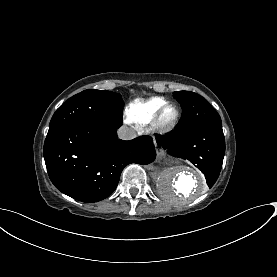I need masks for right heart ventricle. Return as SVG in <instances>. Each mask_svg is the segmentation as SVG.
Returning <instances> with one entry per match:
<instances>
[{"label": "right heart ventricle", "mask_w": 277, "mask_h": 277, "mask_svg": "<svg viewBox=\"0 0 277 277\" xmlns=\"http://www.w3.org/2000/svg\"><path fill=\"white\" fill-rule=\"evenodd\" d=\"M166 102L168 101L163 97H153L149 100L136 99L126 107L125 117L135 124H148L157 109Z\"/></svg>", "instance_id": "1"}]
</instances>
